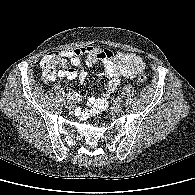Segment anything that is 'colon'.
<instances>
[{"label":"colon","instance_id":"1","mask_svg":"<svg viewBox=\"0 0 195 195\" xmlns=\"http://www.w3.org/2000/svg\"><path fill=\"white\" fill-rule=\"evenodd\" d=\"M67 58L61 52H51L41 60L43 75L47 80H53L67 70ZM144 74H139L137 81L144 83L146 81Z\"/></svg>","mask_w":195,"mask_h":195}]
</instances>
